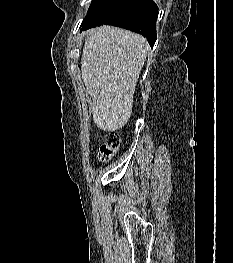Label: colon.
I'll use <instances>...</instances> for the list:
<instances>
[{"label": "colon", "mask_w": 233, "mask_h": 263, "mask_svg": "<svg viewBox=\"0 0 233 263\" xmlns=\"http://www.w3.org/2000/svg\"><path fill=\"white\" fill-rule=\"evenodd\" d=\"M121 145V137L117 132L111 131L106 137L103 145L99 151V160L101 162H108L119 150Z\"/></svg>", "instance_id": "5ec220e1"}]
</instances>
